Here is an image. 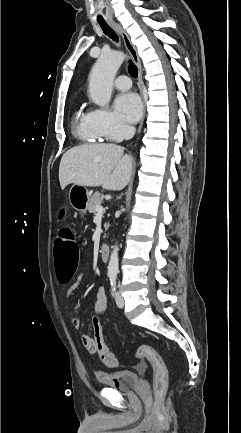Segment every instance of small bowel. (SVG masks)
<instances>
[{
    "mask_svg": "<svg viewBox=\"0 0 241 433\" xmlns=\"http://www.w3.org/2000/svg\"><path fill=\"white\" fill-rule=\"evenodd\" d=\"M82 278H83V274L81 273L78 275V277L75 279V281L68 287V289L66 291V298H69L73 294L75 289L79 286ZM107 304H108V301H107L106 292L102 286H99L97 288V292H96V301H95V306H94L95 312L100 313V314L105 313L107 310ZM72 325L74 328L79 329L81 327L80 319L77 317L72 318ZM93 338L94 337H91L88 334H83L81 336V339H82L84 346L91 353H95V351H91L88 349L87 342H92Z\"/></svg>",
    "mask_w": 241,
    "mask_h": 433,
    "instance_id": "c3829d8e",
    "label": "small bowel"
}]
</instances>
